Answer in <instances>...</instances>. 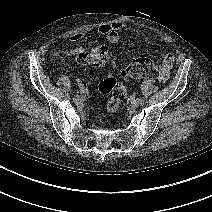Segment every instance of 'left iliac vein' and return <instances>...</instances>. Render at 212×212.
<instances>
[{"instance_id":"4c4485c4","label":"left iliac vein","mask_w":212,"mask_h":212,"mask_svg":"<svg viewBox=\"0 0 212 212\" xmlns=\"http://www.w3.org/2000/svg\"><path fill=\"white\" fill-rule=\"evenodd\" d=\"M138 106H139L138 100H134V101L131 102V107H132V108L135 109V108H137Z\"/></svg>"}]
</instances>
